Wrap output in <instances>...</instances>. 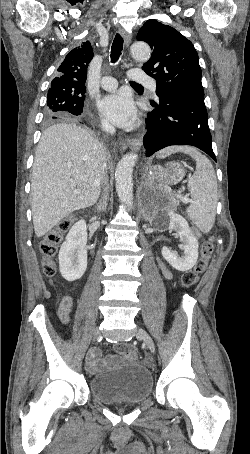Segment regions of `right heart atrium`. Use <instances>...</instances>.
Returning a JSON list of instances; mask_svg holds the SVG:
<instances>
[{
    "instance_id": "1",
    "label": "right heart atrium",
    "mask_w": 250,
    "mask_h": 454,
    "mask_svg": "<svg viewBox=\"0 0 250 454\" xmlns=\"http://www.w3.org/2000/svg\"><path fill=\"white\" fill-rule=\"evenodd\" d=\"M100 123H101L102 127H104V128L108 127L107 123L104 120L101 119Z\"/></svg>"
}]
</instances>
